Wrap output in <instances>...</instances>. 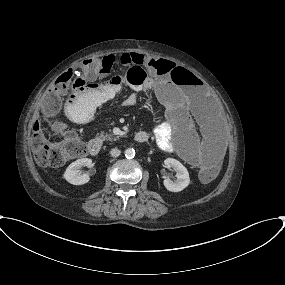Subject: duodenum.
Listing matches in <instances>:
<instances>
[{
	"label": "duodenum",
	"mask_w": 285,
	"mask_h": 285,
	"mask_svg": "<svg viewBox=\"0 0 285 285\" xmlns=\"http://www.w3.org/2000/svg\"><path fill=\"white\" fill-rule=\"evenodd\" d=\"M75 107L81 108V105L77 103L75 104ZM134 139L137 142H145L148 140V134L145 131H139L135 134ZM87 148L90 155L96 156L101 150V144L98 140L92 139L89 141Z\"/></svg>",
	"instance_id": "duodenum-1"
}]
</instances>
